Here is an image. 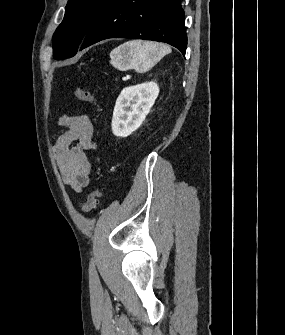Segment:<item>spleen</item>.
I'll return each instance as SVG.
<instances>
[{
	"mask_svg": "<svg viewBox=\"0 0 285 335\" xmlns=\"http://www.w3.org/2000/svg\"><path fill=\"white\" fill-rule=\"evenodd\" d=\"M171 48L158 42H143V40H131L125 42L112 50L110 58L119 70H150L154 64H157L166 54H170Z\"/></svg>",
	"mask_w": 285,
	"mask_h": 335,
	"instance_id": "1",
	"label": "spleen"
}]
</instances>
